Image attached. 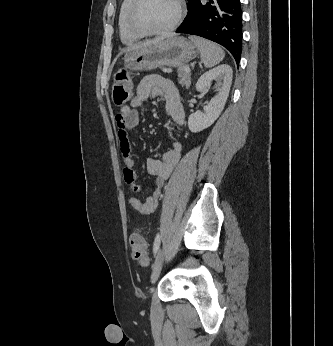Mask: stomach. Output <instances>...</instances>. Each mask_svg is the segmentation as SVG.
<instances>
[{
  "label": "stomach",
  "mask_w": 333,
  "mask_h": 346,
  "mask_svg": "<svg viewBox=\"0 0 333 346\" xmlns=\"http://www.w3.org/2000/svg\"><path fill=\"white\" fill-rule=\"evenodd\" d=\"M198 54L199 49L192 41L171 37L130 51L124 57V64L131 71H149L163 66L182 67Z\"/></svg>",
  "instance_id": "1"
}]
</instances>
